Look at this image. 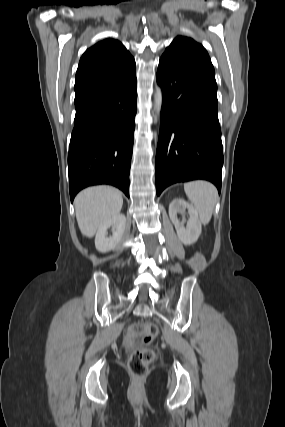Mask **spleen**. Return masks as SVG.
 Masks as SVG:
<instances>
[{"mask_svg":"<svg viewBox=\"0 0 285 427\" xmlns=\"http://www.w3.org/2000/svg\"><path fill=\"white\" fill-rule=\"evenodd\" d=\"M184 191L199 214L200 221L208 224L218 197L215 186L210 182L197 180L185 183Z\"/></svg>","mask_w":285,"mask_h":427,"instance_id":"spleen-1","label":"spleen"}]
</instances>
